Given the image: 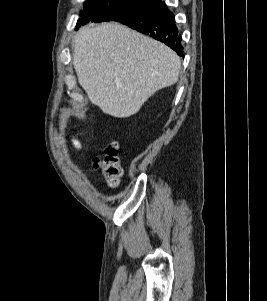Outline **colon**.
I'll use <instances>...</instances> for the list:
<instances>
[{"instance_id":"5ec220e1","label":"colon","mask_w":267,"mask_h":301,"mask_svg":"<svg viewBox=\"0 0 267 301\" xmlns=\"http://www.w3.org/2000/svg\"><path fill=\"white\" fill-rule=\"evenodd\" d=\"M94 166L102 170L110 187H117L123 175V168L118 157V143H110L103 157L95 158Z\"/></svg>"}]
</instances>
